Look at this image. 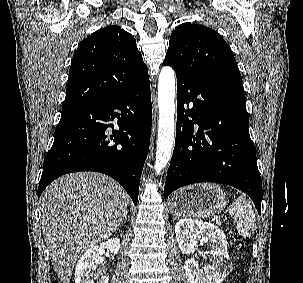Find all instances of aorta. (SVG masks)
Here are the masks:
<instances>
[{"instance_id": "aorta-1", "label": "aorta", "mask_w": 303, "mask_h": 283, "mask_svg": "<svg viewBox=\"0 0 303 283\" xmlns=\"http://www.w3.org/2000/svg\"><path fill=\"white\" fill-rule=\"evenodd\" d=\"M175 73L165 66L159 74L158 80V107L159 128L157 151L154 170L157 175L167 166L171 159L174 143V115H175Z\"/></svg>"}]
</instances>
